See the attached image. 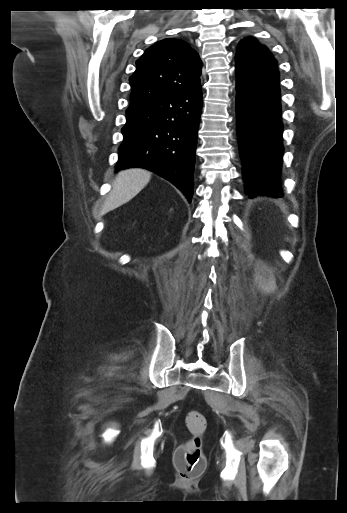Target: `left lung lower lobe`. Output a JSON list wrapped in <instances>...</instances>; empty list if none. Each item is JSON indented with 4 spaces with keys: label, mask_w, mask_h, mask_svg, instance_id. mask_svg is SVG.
Listing matches in <instances>:
<instances>
[{
    "label": "left lung lower lobe",
    "mask_w": 347,
    "mask_h": 513,
    "mask_svg": "<svg viewBox=\"0 0 347 513\" xmlns=\"http://www.w3.org/2000/svg\"><path fill=\"white\" fill-rule=\"evenodd\" d=\"M236 109L238 138L247 194L282 197L283 157L279 72L237 60Z\"/></svg>",
    "instance_id": "1"
}]
</instances>
